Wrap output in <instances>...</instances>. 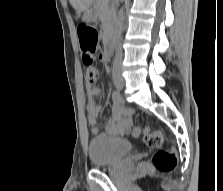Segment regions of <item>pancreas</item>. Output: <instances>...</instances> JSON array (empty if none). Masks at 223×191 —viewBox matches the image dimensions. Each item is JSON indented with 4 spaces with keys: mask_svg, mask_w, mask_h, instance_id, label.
Instances as JSON below:
<instances>
[{
    "mask_svg": "<svg viewBox=\"0 0 223 191\" xmlns=\"http://www.w3.org/2000/svg\"><path fill=\"white\" fill-rule=\"evenodd\" d=\"M94 7L102 23V29L104 32H108L113 23L114 5L110 0H96Z\"/></svg>",
    "mask_w": 223,
    "mask_h": 191,
    "instance_id": "obj_1",
    "label": "pancreas"
}]
</instances>
